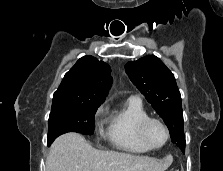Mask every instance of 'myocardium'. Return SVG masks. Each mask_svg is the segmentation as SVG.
<instances>
[{
    "label": "myocardium",
    "instance_id": "obj_1",
    "mask_svg": "<svg viewBox=\"0 0 223 171\" xmlns=\"http://www.w3.org/2000/svg\"><path fill=\"white\" fill-rule=\"evenodd\" d=\"M152 123L160 124L163 127V129L165 130L166 138H165V141L161 145H154V144H152L151 141L148 138V135H147L148 127ZM139 136H140L141 140L143 141V143L146 146H148L150 149H160V148L164 147L167 144V142L169 141V139H170V130H169L167 124L163 120H161L160 118L150 117L149 116V117L145 118L140 123V125H139Z\"/></svg>",
    "mask_w": 223,
    "mask_h": 171
}]
</instances>
